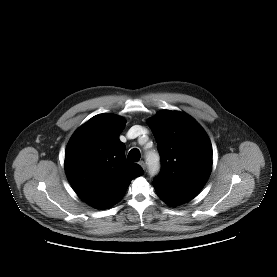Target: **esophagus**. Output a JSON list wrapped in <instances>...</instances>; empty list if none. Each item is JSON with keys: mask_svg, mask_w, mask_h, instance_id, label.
Returning <instances> with one entry per match:
<instances>
[{"mask_svg": "<svg viewBox=\"0 0 277 277\" xmlns=\"http://www.w3.org/2000/svg\"><path fill=\"white\" fill-rule=\"evenodd\" d=\"M139 165L142 167L143 170H145L146 166H145L144 161H140Z\"/></svg>", "mask_w": 277, "mask_h": 277, "instance_id": "34e87169", "label": "esophagus"}]
</instances>
